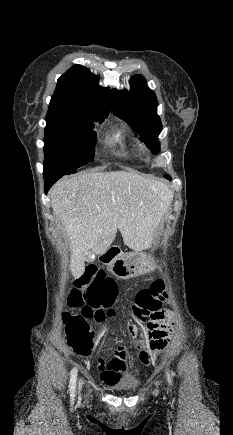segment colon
I'll list each match as a JSON object with an SVG mask.
<instances>
[{
    "label": "colon",
    "mask_w": 233,
    "mask_h": 435,
    "mask_svg": "<svg viewBox=\"0 0 233 435\" xmlns=\"http://www.w3.org/2000/svg\"><path fill=\"white\" fill-rule=\"evenodd\" d=\"M112 280L104 270L95 266L86 268L82 276L76 281L74 287L70 290L68 297V303L72 307H82L84 297L81 290L88 284L96 281L98 283H109ZM167 294V283L162 280L154 281L149 288L141 289L136 297L134 304L132 305L133 315L139 317L141 320L153 318L160 310L162 301ZM114 299L108 296H101L96 294L88 298V304L82 307L79 314L70 315L66 317L68 323V342L70 347L79 354H87L93 348L94 330L90 321L94 320L96 323L103 322L106 317L113 316L112 309L107 310L104 313L102 310H94V307L100 305L108 306ZM149 334L152 336L150 340V348L156 354L163 349L169 341V326L163 329L147 328ZM129 332L131 337L136 340L137 337L144 333V329L136 328L135 326H129ZM137 352L136 347H126L123 345H117L115 347V353L122 358L128 357L131 353ZM141 361L145 364H149L153 357L145 352L139 354Z\"/></svg>",
    "instance_id": "5ec220e1"
}]
</instances>
